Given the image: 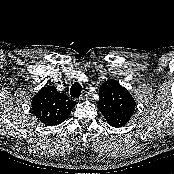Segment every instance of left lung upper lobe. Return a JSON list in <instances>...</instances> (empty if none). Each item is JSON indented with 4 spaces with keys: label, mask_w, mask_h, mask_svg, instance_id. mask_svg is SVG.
Returning a JSON list of instances; mask_svg holds the SVG:
<instances>
[{
    "label": "left lung upper lobe",
    "mask_w": 174,
    "mask_h": 174,
    "mask_svg": "<svg viewBox=\"0 0 174 174\" xmlns=\"http://www.w3.org/2000/svg\"><path fill=\"white\" fill-rule=\"evenodd\" d=\"M97 108L110 126L122 127L131 118L136 103L129 91L115 79L107 80L99 90Z\"/></svg>",
    "instance_id": "left-lung-upper-lobe-1"
}]
</instances>
